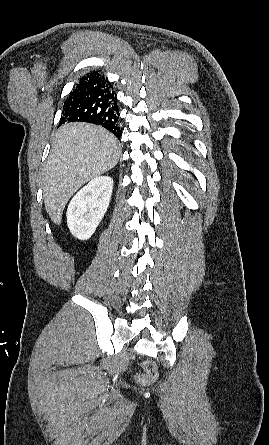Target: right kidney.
I'll return each instance as SVG.
<instances>
[{"label":"right kidney","mask_w":269,"mask_h":445,"mask_svg":"<svg viewBox=\"0 0 269 445\" xmlns=\"http://www.w3.org/2000/svg\"><path fill=\"white\" fill-rule=\"evenodd\" d=\"M112 189L111 177H96L72 198L66 216L74 237L87 240L93 235L107 211Z\"/></svg>","instance_id":"ca27d5eb"}]
</instances>
